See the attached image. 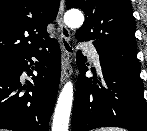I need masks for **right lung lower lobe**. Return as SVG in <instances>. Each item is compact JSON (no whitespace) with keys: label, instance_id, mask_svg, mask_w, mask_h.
<instances>
[{"label":"right lung lower lobe","instance_id":"right-lung-lower-lobe-1","mask_svg":"<svg viewBox=\"0 0 147 131\" xmlns=\"http://www.w3.org/2000/svg\"><path fill=\"white\" fill-rule=\"evenodd\" d=\"M47 47L49 52L37 50L0 66V129L48 131L59 86L61 55L56 40ZM31 57L40 61L35 67L38 75H33V83L28 81L23 86L19 80L22 72L32 75Z\"/></svg>","mask_w":147,"mask_h":131}]
</instances>
